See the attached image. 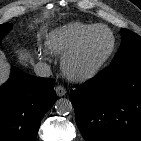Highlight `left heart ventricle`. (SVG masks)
<instances>
[{"label": "left heart ventricle", "mask_w": 141, "mask_h": 141, "mask_svg": "<svg viewBox=\"0 0 141 141\" xmlns=\"http://www.w3.org/2000/svg\"><path fill=\"white\" fill-rule=\"evenodd\" d=\"M111 44L110 34L103 29L95 31L84 44L74 61L75 69H86L97 63L108 51Z\"/></svg>", "instance_id": "obj_1"}]
</instances>
